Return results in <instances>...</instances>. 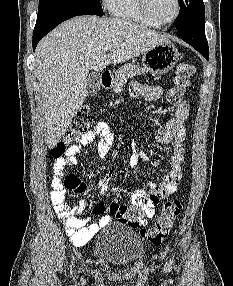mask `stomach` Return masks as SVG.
I'll list each match as a JSON object with an SVG mask.
<instances>
[{
    "label": "stomach",
    "instance_id": "1",
    "mask_svg": "<svg viewBox=\"0 0 233 286\" xmlns=\"http://www.w3.org/2000/svg\"><path fill=\"white\" fill-rule=\"evenodd\" d=\"M180 57L178 49L171 41L161 42L143 54V66L152 74L167 73L176 65Z\"/></svg>",
    "mask_w": 233,
    "mask_h": 286
}]
</instances>
